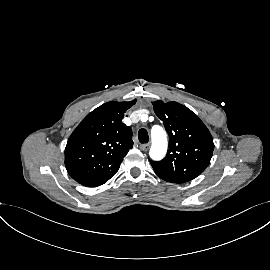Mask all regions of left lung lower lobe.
Returning <instances> with one entry per match:
<instances>
[{"label": "left lung lower lobe", "mask_w": 270, "mask_h": 270, "mask_svg": "<svg viewBox=\"0 0 270 270\" xmlns=\"http://www.w3.org/2000/svg\"><path fill=\"white\" fill-rule=\"evenodd\" d=\"M161 179L168 181V182H172V183H185L186 181L174 176H170V175H166V174H162V173H158L155 172Z\"/></svg>", "instance_id": "left-lung-lower-lobe-1"}]
</instances>
